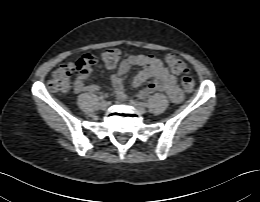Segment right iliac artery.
Masks as SVG:
<instances>
[{
	"mask_svg": "<svg viewBox=\"0 0 260 202\" xmlns=\"http://www.w3.org/2000/svg\"><path fill=\"white\" fill-rule=\"evenodd\" d=\"M103 99H104V96H101V97H100V100H103Z\"/></svg>",
	"mask_w": 260,
	"mask_h": 202,
	"instance_id": "82829eb1",
	"label": "right iliac artery"
}]
</instances>
